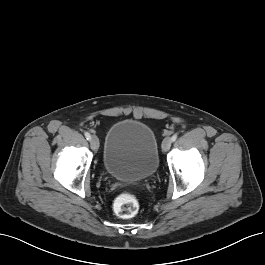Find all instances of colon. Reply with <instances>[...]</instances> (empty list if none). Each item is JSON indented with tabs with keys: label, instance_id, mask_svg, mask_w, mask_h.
Wrapping results in <instances>:
<instances>
[{
	"label": "colon",
	"instance_id": "1",
	"mask_svg": "<svg viewBox=\"0 0 265 265\" xmlns=\"http://www.w3.org/2000/svg\"><path fill=\"white\" fill-rule=\"evenodd\" d=\"M115 209L118 216L122 218H131L135 216L138 211V203L132 194L123 193L116 199Z\"/></svg>",
	"mask_w": 265,
	"mask_h": 265
}]
</instances>
